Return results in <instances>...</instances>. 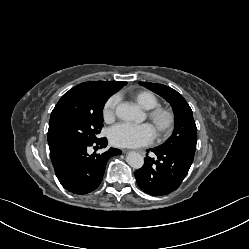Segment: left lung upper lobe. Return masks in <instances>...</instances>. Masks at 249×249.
<instances>
[{"mask_svg":"<svg viewBox=\"0 0 249 249\" xmlns=\"http://www.w3.org/2000/svg\"><path fill=\"white\" fill-rule=\"evenodd\" d=\"M140 85L162 96L168 101L175 114V129L172 136L159 149L185 151L195 154L197 142V128L193 114L186 100L174 89L149 82H139Z\"/></svg>","mask_w":249,"mask_h":249,"instance_id":"5c2ea615","label":"left lung upper lobe"}]
</instances>
